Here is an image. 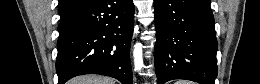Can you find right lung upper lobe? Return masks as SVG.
<instances>
[{
	"label": "right lung upper lobe",
	"mask_w": 260,
	"mask_h": 84,
	"mask_svg": "<svg viewBox=\"0 0 260 84\" xmlns=\"http://www.w3.org/2000/svg\"><path fill=\"white\" fill-rule=\"evenodd\" d=\"M90 0H59V13L60 20L66 18L71 13L75 12L85 4H87Z\"/></svg>",
	"instance_id": "right-lung-upper-lobe-1"
}]
</instances>
